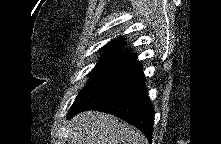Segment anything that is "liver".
<instances>
[{
    "mask_svg": "<svg viewBox=\"0 0 221 144\" xmlns=\"http://www.w3.org/2000/svg\"><path fill=\"white\" fill-rule=\"evenodd\" d=\"M68 144H148L145 136L118 118L86 111L69 122Z\"/></svg>",
    "mask_w": 221,
    "mask_h": 144,
    "instance_id": "liver-1",
    "label": "liver"
}]
</instances>
